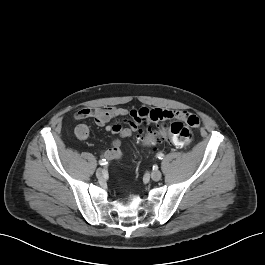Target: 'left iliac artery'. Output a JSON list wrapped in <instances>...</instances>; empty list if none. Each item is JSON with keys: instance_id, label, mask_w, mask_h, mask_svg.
<instances>
[{"instance_id": "left-iliac-artery-1", "label": "left iliac artery", "mask_w": 265, "mask_h": 265, "mask_svg": "<svg viewBox=\"0 0 265 265\" xmlns=\"http://www.w3.org/2000/svg\"><path fill=\"white\" fill-rule=\"evenodd\" d=\"M157 158L162 160L164 158V154L163 153H158L157 154Z\"/></svg>"}]
</instances>
